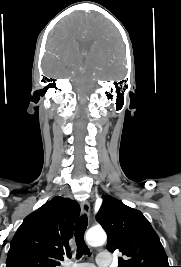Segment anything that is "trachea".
<instances>
[{
    "instance_id": "trachea-1",
    "label": "trachea",
    "mask_w": 181,
    "mask_h": 267,
    "mask_svg": "<svg viewBox=\"0 0 181 267\" xmlns=\"http://www.w3.org/2000/svg\"><path fill=\"white\" fill-rule=\"evenodd\" d=\"M87 224L88 218L86 215L81 216L75 224V242L77 245V258H80L83 254H89V249L84 241V234L87 228Z\"/></svg>"
}]
</instances>
